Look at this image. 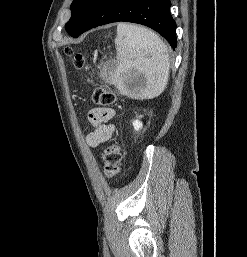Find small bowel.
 Here are the masks:
<instances>
[{"instance_id":"c3829d8e","label":"small bowel","mask_w":247,"mask_h":257,"mask_svg":"<svg viewBox=\"0 0 247 257\" xmlns=\"http://www.w3.org/2000/svg\"><path fill=\"white\" fill-rule=\"evenodd\" d=\"M115 117V110L106 107L93 108L88 113V120L94 130L87 135L86 142L90 147H100L110 139L114 132L111 123Z\"/></svg>"}]
</instances>
